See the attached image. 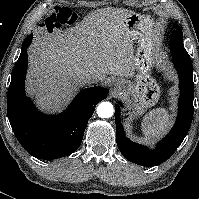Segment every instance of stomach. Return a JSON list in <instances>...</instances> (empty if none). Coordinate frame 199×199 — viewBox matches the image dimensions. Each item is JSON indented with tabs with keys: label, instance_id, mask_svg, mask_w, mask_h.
<instances>
[{
	"label": "stomach",
	"instance_id": "0dacf381",
	"mask_svg": "<svg viewBox=\"0 0 199 199\" xmlns=\"http://www.w3.org/2000/svg\"><path fill=\"white\" fill-rule=\"evenodd\" d=\"M130 37L137 43L135 50L136 75L134 80L121 79L124 95L135 115H142L154 106L160 98V86L149 71L154 63V43L152 40V21L148 16L133 13L125 20Z\"/></svg>",
	"mask_w": 199,
	"mask_h": 199
}]
</instances>
